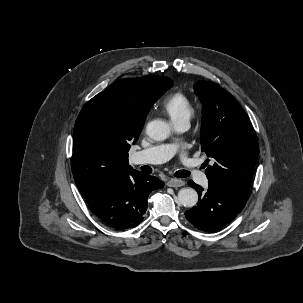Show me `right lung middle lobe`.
I'll return each mask as SVG.
<instances>
[{"instance_id":"obj_1","label":"right lung middle lobe","mask_w":303,"mask_h":303,"mask_svg":"<svg viewBox=\"0 0 303 303\" xmlns=\"http://www.w3.org/2000/svg\"><path fill=\"white\" fill-rule=\"evenodd\" d=\"M74 180H75V182H76V184H77V186H78V188L82 185V183H83V177H82V175L81 174H79V173H74Z\"/></svg>"}]
</instances>
